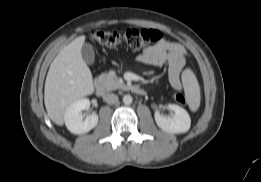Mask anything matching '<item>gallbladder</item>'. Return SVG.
<instances>
[{
    "label": "gallbladder",
    "mask_w": 261,
    "mask_h": 182,
    "mask_svg": "<svg viewBox=\"0 0 261 182\" xmlns=\"http://www.w3.org/2000/svg\"><path fill=\"white\" fill-rule=\"evenodd\" d=\"M81 55H82V58L84 59V61L88 65H92L94 63L95 53L90 44H87V43L83 44L82 49H81Z\"/></svg>",
    "instance_id": "gallbladder-1"
}]
</instances>
